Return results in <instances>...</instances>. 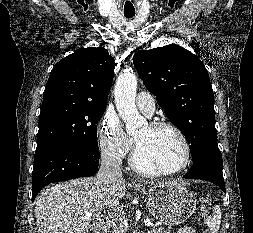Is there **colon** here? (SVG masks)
Returning <instances> with one entry per match:
<instances>
[{
    "instance_id": "obj_1",
    "label": "colon",
    "mask_w": 253,
    "mask_h": 233,
    "mask_svg": "<svg viewBox=\"0 0 253 233\" xmlns=\"http://www.w3.org/2000/svg\"><path fill=\"white\" fill-rule=\"evenodd\" d=\"M210 208V204L207 201H203L202 203V215H201V223L204 224L206 220V214ZM203 233H210L208 229H205Z\"/></svg>"
}]
</instances>
